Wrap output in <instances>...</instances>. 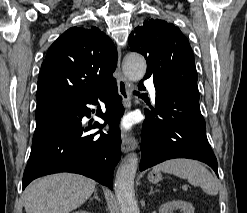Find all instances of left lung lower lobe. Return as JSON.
I'll return each instance as SVG.
<instances>
[{
  "instance_id": "0a47b994",
  "label": "left lung lower lobe",
  "mask_w": 247,
  "mask_h": 213,
  "mask_svg": "<svg viewBox=\"0 0 247 213\" xmlns=\"http://www.w3.org/2000/svg\"><path fill=\"white\" fill-rule=\"evenodd\" d=\"M139 89L142 90L141 84ZM145 115L140 171L165 160L189 158L208 164L218 175L217 160L206 137L199 101L156 92V110H145Z\"/></svg>"
}]
</instances>
